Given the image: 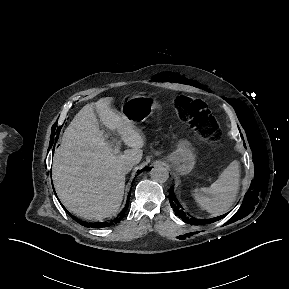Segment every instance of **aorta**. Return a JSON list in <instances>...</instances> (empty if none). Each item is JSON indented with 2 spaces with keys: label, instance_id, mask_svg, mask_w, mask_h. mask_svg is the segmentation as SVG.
Masks as SVG:
<instances>
[{
  "label": "aorta",
  "instance_id": "1",
  "mask_svg": "<svg viewBox=\"0 0 289 289\" xmlns=\"http://www.w3.org/2000/svg\"><path fill=\"white\" fill-rule=\"evenodd\" d=\"M150 177L154 182L165 183L169 178V172L165 167H154L150 171Z\"/></svg>",
  "mask_w": 289,
  "mask_h": 289
}]
</instances>
